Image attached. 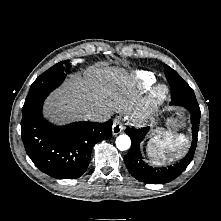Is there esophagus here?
<instances>
[{"instance_id":"34e87169","label":"esophagus","mask_w":221,"mask_h":221,"mask_svg":"<svg viewBox=\"0 0 221 221\" xmlns=\"http://www.w3.org/2000/svg\"><path fill=\"white\" fill-rule=\"evenodd\" d=\"M123 130V124L120 121L119 118H115L114 122H113V126H112V134L113 136H116L118 134H120Z\"/></svg>"}]
</instances>
